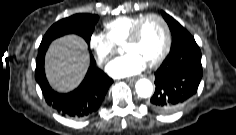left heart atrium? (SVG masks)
<instances>
[{"label":"left heart atrium","mask_w":236,"mask_h":135,"mask_svg":"<svg viewBox=\"0 0 236 135\" xmlns=\"http://www.w3.org/2000/svg\"><path fill=\"white\" fill-rule=\"evenodd\" d=\"M145 67V61L134 53H127L116 58L107 66V72L115 78H123L140 73Z\"/></svg>","instance_id":"obj_1"}]
</instances>
